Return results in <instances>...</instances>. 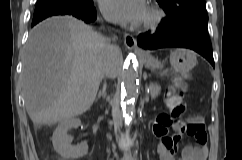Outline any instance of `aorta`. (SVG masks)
I'll list each match as a JSON object with an SVG mask.
<instances>
[{"label":"aorta","instance_id":"obj_1","mask_svg":"<svg viewBox=\"0 0 242 160\" xmlns=\"http://www.w3.org/2000/svg\"><path fill=\"white\" fill-rule=\"evenodd\" d=\"M138 70L137 65L127 61L124 65L122 74V86L125 94L124 111L126 118L130 119L132 116V102L138 95Z\"/></svg>","mask_w":242,"mask_h":160}]
</instances>
